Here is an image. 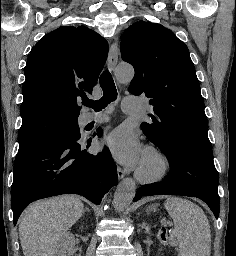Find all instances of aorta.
<instances>
[{
  "label": "aorta",
  "mask_w": 236,
  "mask_h": 256,
  "mask_svg": "<svg viewBox=\"0 0 236 256\" xmlns=\"http://www.w3.org/2000/svg\"><path fill=\"white\" fill-rule=\"evenodd\" d=\"M116 78L121 83H128L134 76V69L127 64H120L115 70ZM136 194V184L132 178H125L117 186L114 194V207L122 212L133 200Z\"/></svg>",
  "instance_id": "1"
}]
</instances>
